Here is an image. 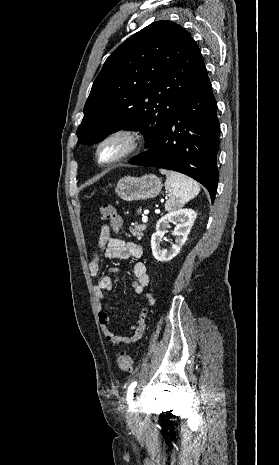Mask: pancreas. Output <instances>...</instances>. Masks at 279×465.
<instances>
[{
  "label": "pancreas",
  "mask_w": 279,
  "mask_h": 465,
  "mask_svg": "<svg viewBox=\"0 0 279 465\" xmlns=\"http://www.w3.org/2000/svg\"><path fill=\"white\" fill-rule=\"evenodd\" d=\"M145 224L136 225L134 228H130V232L133 236L141 239L143 237V231L146 229Z\"/></svg>",
  "instance_id": "1"
}]
</instances>
